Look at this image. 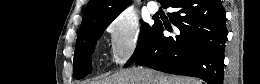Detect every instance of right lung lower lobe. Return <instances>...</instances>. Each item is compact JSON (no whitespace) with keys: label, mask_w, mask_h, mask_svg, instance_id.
<instances>
[{"label":"right lung lower lobe","mask_w":260,"mask_h":84,"mask_svg":"<svg viewBox=\"0 0 260 84\" xmlns=\"http://www.w3.org/2000/svg\"><path fill=\"white\" fill-rule=\"evenodd\" d=\"M162 5L177 9L169 17L179 34L165 37L162 24H157L150 47L136 65L223 84L227 29L221 1L166 0Z\"/></svg>","instance_id":"right-lung-lower-lobe-1"}]
</instances>
